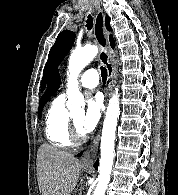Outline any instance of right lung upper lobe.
<instances>
[{
  "mask_svg": "<svg viewBox=\"0 0 178 195\" xmlns=\"http://www.w3.org/2000/svg\"><path fill=\"white\" fill-rule=\"evenodd\" d=\"M109 40H110L111 47L114 48L115 41L112 35H110ZM60 83L61 81H60L59 71L57 68H55L49 80L47 91L40 99L39 106L45 105V103L48 101L50 96L58 90V88L60 87Z\"/></svg>",
  "mask_w": 178,
  "mask_h": 195,
  "instance_id": "obj_1",
  "label": "right lung upper lobe"
}]
</instances>
